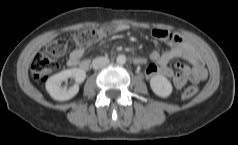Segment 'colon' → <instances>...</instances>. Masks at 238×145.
Returning a JSON list of instances; mask_svg holds the SVG:
<instances>
[{
	"instance_id": "obj_1",
	"label": "colon",
	"mask_w": 238,
	"mask_h": 145,
	"mask_svg": "<svg viewBox=\"0 0 238 145\" xmlns=\"http://www.w3.org/2000/svg\"><path fill=\"white\" fill-rule=\"evenodd\" d=\"M107 28L87 29L75 33L71 37V42L77 48H86L92 43L99 40L107 33ZM67 41L65 39H56L47 44L34 57L31 64V71L35 79L46 81L59 66V59L66 53ZM198 91L194 85L188 86L183 91V97L188 99L193 97Z\"/></svg>"
}]
</instances>
